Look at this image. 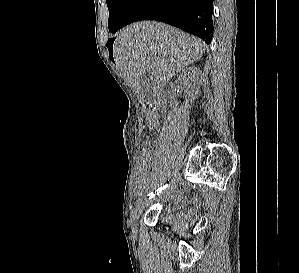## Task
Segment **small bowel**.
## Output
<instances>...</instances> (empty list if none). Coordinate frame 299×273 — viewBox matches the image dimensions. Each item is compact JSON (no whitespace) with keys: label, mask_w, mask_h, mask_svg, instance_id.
Segmentation results:
<instances>
[{"label":"small bowel","mask_w":299,"mask_h":273,"mask_svg":"<svg viewBox=\"0 0 299 273\" xmlns=\"http://www.w3.org/2000/svg\"><path fill=\"white\" fill-rule=\"evenodd\" d=\"M146 124L150 130H155L159 124V114L155 108H149L146 112ZM152 151L142 150L139 158V168L133 187V194L143 193L148 186V172L151 170Z\"/></svg>","instance_id":"small-bowel-1"}]
</instances>
